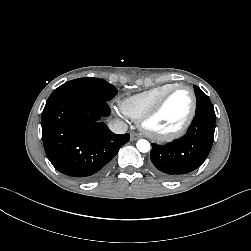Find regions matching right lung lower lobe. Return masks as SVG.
<instances>
[{
  "label": "right lung lower lobe",
  "instance_id": "1",
  "mask_svg": "<svg viewBox=\"0 0 251 251\" xmlns=\"http://www.w3.org/2000/svg\"><path fill=\"white\" fill-rule=\"evenodd\" d=\"M109 114L107 102L95 98L65 95L47 100L41 119L43 145L59 172L82 181L106 172L129 141V134L117 135L99 121Z\"/></svg>",
  "mask_w": 251,
  "mask_h": 251
}]
</instances>
